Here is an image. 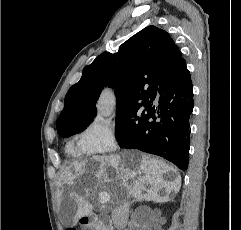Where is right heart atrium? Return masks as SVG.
I'll return each instance as SVG.
<instances>
[{
    "instance_id": "obj_1",
    "label": "right heart atrium",
    "mask_w": 241,
    "mask_h": 230,
    "mask_svg": "<svg viewBox=\"0 0 241 230\" xmlns=\"http://www.w3.org/2000/svg\"><path fill=\"white\" fill-rule=\"evenodd\" d=\"M81 148L90 154L114 152L119 148V138L115 125L108 120L92 123L81 134Z\"/></svg>"
}]
</instances>
